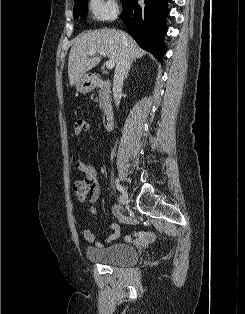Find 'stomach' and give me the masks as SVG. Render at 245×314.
Returning a JSON list of instances; mask_svg holds the SVG:
<instances>
[{"instance_id":"stomach-1","label":"stomach","mask_w":245,"mask_h":314,"mask_svg":"<svg viewBox=\"0 0 245 314\" xmlns=\"http://www.w3.org/2000/svg\"><path fill=\"white\" fill-rule=\"evenodd\" d=\"M94 88V79L93 77L89 76L88 74L83 75L77 82H76V89L80 93H88Z\"/></svg>"}]
</instances>
